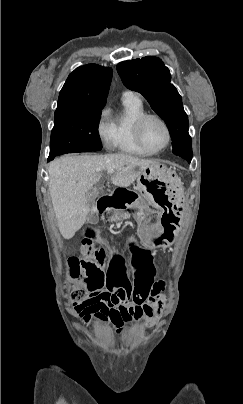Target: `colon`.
<instances>
[{
    "label": "colon",
    "instance_id": "1",
    "mask_svg": "<svg viewBox=\"0 0 243 404\" xmlns=\"http://www.w3.org/2000/svg\"><path fill=\"white\" fill-rule=\"evenodd\" d=\"M82 255L80 257H73L69 262L70 273L73 280H81L84 276H86V281L90 277V273L86 270L85 267H92V271L97 273H101L104 270V252L96 250L90 242H84L82 245ZM84 291L75 289L72 291V298L75 301H82L84 298ZM133 301L135 303H139L143 301L144 294L143 293H134Z\"/></svg>",
    "mask_w": 243,
    "mask_h": 404
}]
</instances>
